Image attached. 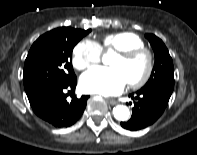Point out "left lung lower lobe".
I'll use <instances>...</instances> for the list:
<instances>
[{
  "label": "left lung lower lobe",
  "instance_id": "0a47b994",
  "mask_svg": "<svg viewBox=\"0 0 197 155\" xmlns=\"http://www.w3.org/2000/svg\"><path fill=\"white\" fill-rule=\"evenodd\" d=\"M171 95L161 91L139 90L136 96L130 95L135 100L131 119L121 122L125 129L136 131L153 124L164 112Z\"/></svg>",
  "mask_w": 197,
  "mask_h": 155
}]
</instances>
